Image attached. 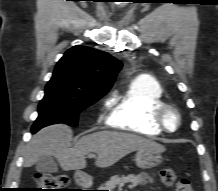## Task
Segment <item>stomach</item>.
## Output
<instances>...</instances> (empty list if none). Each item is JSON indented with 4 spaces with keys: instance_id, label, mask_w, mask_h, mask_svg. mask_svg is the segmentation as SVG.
<instances>
[{
    "instance_id": "0dacf381",
    "label": "stomach",
    "mask_w": 218,
    "mask_h": 191,
    "mask_svg": "<svg viewBox=\"0 0 218 191\" xmlns=\"http://www.w3.org/2000/svg\"><path fill=\"white\" fill-rule=\"evenodd\" d=\"M135 161L139 168L151 169L160 165L163 158L161 152L155 150H138ZM74 178L79 185H86L89 182V176L81 171H77Z\"/></svg>"
}]
</instances>
